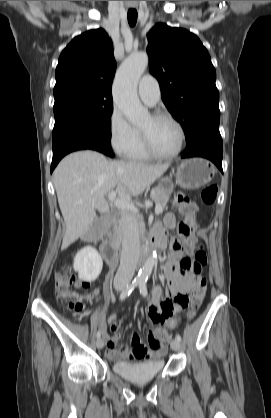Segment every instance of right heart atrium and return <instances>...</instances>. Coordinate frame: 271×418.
<instances>
[{
    "label": "right heart atrium",
    "mask_w": 271,
    "mask_h": 418,
    "mask_svg": "<svg viewBox=\"0 0 271 418\" xmlns=\"http://www.w3.org/2000/svg\"><path fill=\"white\" fill-rule=\"evenodd\" d=\"M109 141L113 150L120 156H126L136 140V130L126 120L122 111L113 107L109 116Z\"/></svg>",
    "instance_id": "d8ad5b80"
}]
</instances>
